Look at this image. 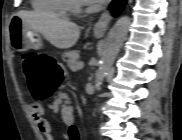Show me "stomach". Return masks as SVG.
Here are the masks:
<instances>
[{"label": "stomach", "mask_w": 182, "mask_h": 140, "mask_svg": "<svg viewBox=\"0 0 182 140\" xmlns=\"http://www.w3.org/2000/svg\"><path fill=\"white\" fill-rule=\"evenodd\" d=\"M9 34L11 45L16 50L38 49L42 45L39 33L30 29L20 16L11 19Z\"/></svg>", "instance_id": "1"}]
</instances>
